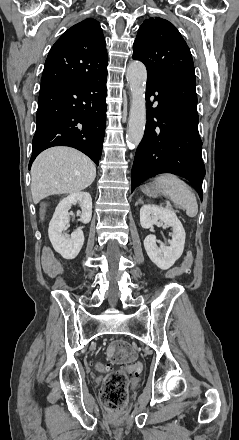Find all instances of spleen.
<instances>
[{"instance_id":"3e777b00","label":"spleen","mask_w":239,"mask_h":440,"mask_svg":"<svg viewBox=\"0 0 239 440\" xmlns=\"http://www.w3.org/2000/svg\"><path fill=\"white\" fill-rule=\"evenodd\" d=\"M156 182L162 184L166 188L167 196L174 204H179L183 210H186L189 218H194L198 212V206L191 188L179 180L177 176L173 174H161L159 178H156Z\"/></svg>"}]
</instances>
